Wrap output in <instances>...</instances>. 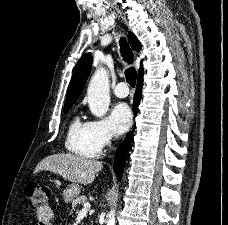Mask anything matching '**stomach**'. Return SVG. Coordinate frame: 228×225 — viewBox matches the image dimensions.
<instances>
[{"label": "stomach", "mask_w": 228, "mask_h": 225, "mask_svg": "<svg viewBox=\"0 0 228 225\" xmlns=\"http://www.w3.org/2000/svg\"><path fill=\"white\" fill-rule=\"evenodd\" d=\"M80 191L81 189L79 185H76V183H73V185H68L63 193L65 203H70V201H74L76 197H79Z\"/></svg>", "instance_id": "1"}]
</instances>
